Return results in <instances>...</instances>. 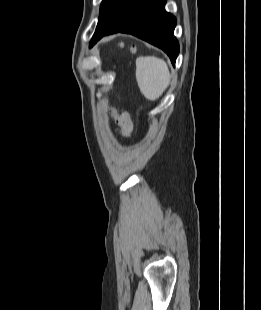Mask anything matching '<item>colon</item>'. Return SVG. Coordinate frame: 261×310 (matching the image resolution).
Instances as JSON below:
<instances>
[{"label": "colon", "mask_w": 261, "mask_h": 310, "mask_svg": "<svg viewBox=\"0 0 261 310\" xmlns=\"http://www.w3.org/2000/svg\"><path fill=\"white\" fill-rule=\"evenodd\" d=\"M111 114L118 125L120 134L122 136H130L132 133V123L129 114L127 112L117 113L115 110H111Z\"/></svg>", "instance_id": "colon-1"}]
</instances>
